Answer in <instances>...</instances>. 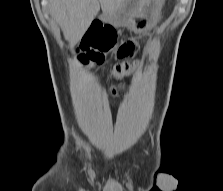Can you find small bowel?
Instances as JSON below:
<instances>
[{
	"label": "small bowel",
	"instance_id": "1",
	"mask_svg": "<svg viewBox=\"0 0 223 191\" xmlns=\"http://www.w3.org/2000/svg\"><path fill=\"white\" fill-rule=\"evenodd\" d=\"M98 27H102V26H98ZM121 90H123L122 87H120V88H112L111 93H112L113 95H115V94H117V93H118L119 91H121Z\"/></svg>",
	"mask_w": 223,
	"mask_h": 191
}]
</instances>
